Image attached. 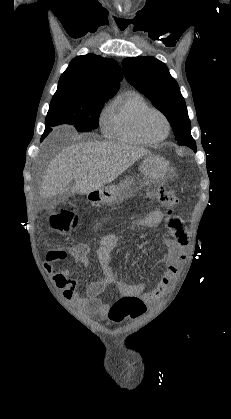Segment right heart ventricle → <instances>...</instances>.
Returning <instances> with one entry per match:
<instances>
[{"label": "right heart ventricle", "mask_w": 231, "mask_h": 419, "mask_svg": "<svg viewBox=\"0 0 231 419\" xmlns=\"http://www.w3.org/2000/svg\"><path fill=\"white\" fill-rule=\"evenodd\" d=\"M148 107L147 101L137 92H128L116 99L108 109L103 128L105 136L124 144H147L138 134L136 120Z\"/></svg>", "instance_id": "1"}]
</instances>
